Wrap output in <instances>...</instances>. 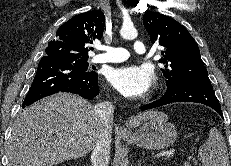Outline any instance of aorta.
I'll use <instances>...</instances> for the list:
<instances>
[{
  "instance_id": "aorta-1",
  "label": "aorta",
  "mask_w": 231,
  "mask_h": 166,
  "mask_svg": "<svg viewBox=\"0 0 231 166\" xmlns=\"http://www.w3.org/2000/svg\"><path fill=\"white\" fill-rule=\"evenodd\" d=\"M120 35L126 40H133L137 37L138 33L133 25L123 24Z\"/></svg>"
}]
</instances>
